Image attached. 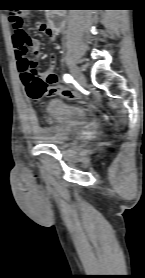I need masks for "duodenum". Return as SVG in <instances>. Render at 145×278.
I'll return each mask as SVG.
<instances>
[{
    "label": "duodenum",
    "mask_w": 145,
    "mask_h": 278,
    "mask_svg": "<svg viewBox=\"0 0 145 278\" xmlns=\"http://www.w3.org/2000/svg\"><path fill=\"white\" fill-rule=\"evenodd\" d=\"M45 25L55 33H59L65 26V16L62 13H53L47 16Z\"/></svg>",
    "instance_id": "duodenum-1"
}]
</instances>
